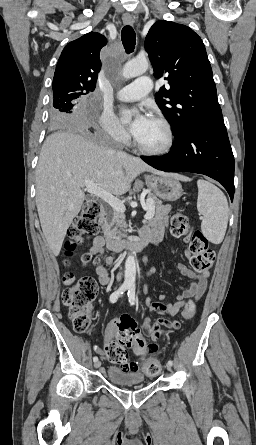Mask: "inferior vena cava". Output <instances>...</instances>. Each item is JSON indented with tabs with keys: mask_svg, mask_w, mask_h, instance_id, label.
Wrapping results in <instances>:
<instances>
[{
	"mask_svg": "<svg viewBox=\"0 0 256 445\" xmlns=\"http://www.w3.org/2000/svg\"><path fill=\"white\" fill-rule=\"evenodd\" d=\"M120 279H121V276H120V274L117 276V280L118 281H120Z\"/></svg>",
	"mask_w": 256,
	"mask_h": 445,
	"instance_id": "inferior-vena-cava-1",
	"label": "inferior vena cava"
}]
</instances>
